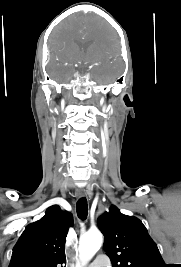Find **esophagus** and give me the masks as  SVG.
Returning <instances> with one entry per match:
<instances>
[{"instance_id": "obj_1", "label": "esophagus", "mask_w": 181, "mask_h": 267, "mask_svg": "<svg viewBox=\"0 0 181 267\" xmlns=\"http://www.w3.org/2000/svg\"><path fill=\"white\" fill-rule=\"evenodd\" d=\"M76 196L78 198H82V197H85L86 196V191L84 189H78L76 191Z\"/></svg>"}]
</instances>
